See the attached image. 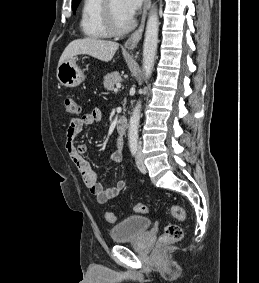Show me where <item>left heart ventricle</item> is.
I'll use <instances>...</instances> for the list:
<instances>
[{
    "mask_svg": "<svg viewBox=\"0 0 259 283\" xmlns=\"http://www.w3.org/2000/svg\"><path fill=\"white\" fill-rule=\"evenodd\" d=\"M111 6L117 23L125 26L130 19L122 11L121 0H111Z\"/></svg>",
    "mask_w": 259,
    "mask_h": 283,
    "instance_id": "1",
    "label": "left heart ventricle"
}]
</instances>
